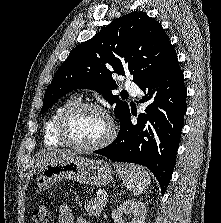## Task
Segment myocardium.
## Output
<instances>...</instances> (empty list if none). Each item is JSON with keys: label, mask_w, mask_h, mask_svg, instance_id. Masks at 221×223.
I'll list each match as a JSON object with an SVG mask.
<instances>
[{"label": "myocardium", "mask_w": 221, "mask_h": 223, "mask_svg": "<svg viewBox=\"0 0 221 223\" xmlns=\"http://www.w3.org/2000/svg\"><path fill=\"white\" fill-rule=\"evenodd\" d=\"M83 110H95L103 114L109 124V131L108 134L98 143L93 145H83L78 144L70 139L68 136V123L70 119L78 112ZM116 136V125L114 123L113 118L109 114V112L103 108L102 106L91 103V102H78L70 105L67 107L59 117L57 127H56V137L60 140L63 144L70 147L73 150L81 151V152H93L100 150L106 146H108Z\"/></svg>", "instance_id": "myocardium-1"}]
</instances>
